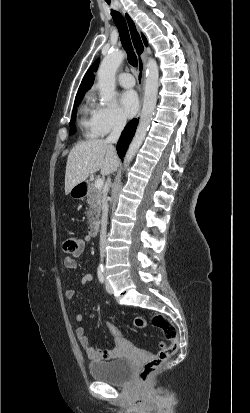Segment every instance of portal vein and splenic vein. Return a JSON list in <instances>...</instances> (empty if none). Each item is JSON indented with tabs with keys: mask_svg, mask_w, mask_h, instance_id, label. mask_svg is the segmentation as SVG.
I'll return each instance as SVG.
<instances>
[{
	"mask_svg": "<svg viewBox=\"0 0 250 413\" xmlns=\"http://www.w3.org/2000/svg\"><path fill=\"white\" fill-rule=\"evenodd\" d=\"M95 187L97 189H101L103 187V179H101V178L96 179L95 180Z\"/></svg>",
	"mask_w": 250,
	"mask_h": 413,
	"instance_id": "portal-vein-and-splenic-vein-1",
	"label": "portal vein and splenic vein"
}]
</instances>
